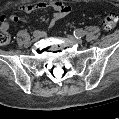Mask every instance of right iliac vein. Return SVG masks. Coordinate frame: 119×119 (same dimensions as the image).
Listing matches in <instances>:
<instances>
[{
	"label": "right iliac vein",
	"instance_id": "1",
	"mask_svg": "<svg viewBox=\"0 0 119 119\" xmlns=\"http://www.w3.org/2000/svg\"><path fill=\"white\" fill-rule=\"evenodd\" d=\"M40 37H41V33H35L33 40H34V41H37V40L40 39Z\"/></svg>",
	"mask_w": 119,
	"mask_h": 119
}]
</instances>
